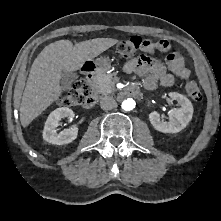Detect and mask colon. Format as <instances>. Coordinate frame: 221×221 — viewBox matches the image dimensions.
Masks as SVG:
<instances>
[{"label":"colon","mask_w":221,"mask_h":221,"mask_svg":"<svg viewBox=\"0 0 221 221\" xmlns=\"http://www.w3.org/2000/svg\"><path fill=\"white\" fill-rule=\"evenodd\" d=\"M148 44V40L139 36H133L125 41L120 42L117 50L122 57L133 58L137 54L138 50H142V48ZM185 90L193 100H202L201 89L195 81H189L185 86ZM90 92L91 82L86 78H82L74 84L70 92L60 99L59 103L67 107L82 105L84 104L86 97L90 95Z\"/></svg>","instance_id":"5ec220e1"}]
</instances>
